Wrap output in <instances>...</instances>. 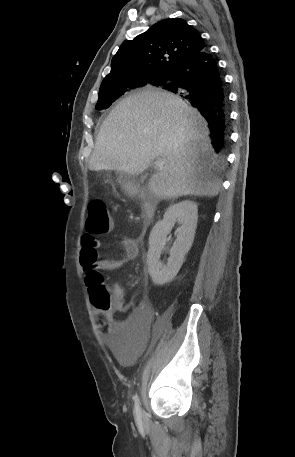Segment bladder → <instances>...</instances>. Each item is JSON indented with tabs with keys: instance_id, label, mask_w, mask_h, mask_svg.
Wrapping results in <instances>:
<instances>
[{
	"instance_id": "bladder-1",
	"label": "bladder",
	"mask_w": 295,
	"mask_h": 457,
	"mask_svg": "<svg viewBox=\"0 0 295 457\" xmlns=\"http://www.w3.org/2000/svg\"><path fill=\"white\" fill-rule=\"evenodd\" d=\"M144 338H105V347H113L122 365L131 364L138 356H143Z\"/></svg>"
}]
</instances>
